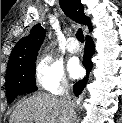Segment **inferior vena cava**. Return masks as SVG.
I'll use <instances>...</instances> for the list:
<instances>
[{
	"instance_id": "inferior-vena-cava-1",
	"label": "inferior vena cava",
	"mask_w": 122,
	"mask_h": 123,
	"mask_svg": "<svg viewBox=\"0 0 122 123\" xmlns=\"http://www.w3.org/2000/svg\"><path fill=\"white\" fill-rule=\"evenodd\" d=\"M66 90H65V95L62 98V105L64 108V115H70V116H74L75 112L73 110V103L71 100V96L68 90V85L65 83L64 84Z\"/></svg>"
}]
</instances>
